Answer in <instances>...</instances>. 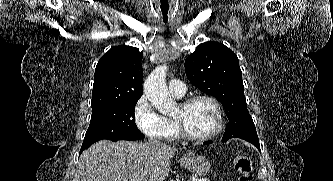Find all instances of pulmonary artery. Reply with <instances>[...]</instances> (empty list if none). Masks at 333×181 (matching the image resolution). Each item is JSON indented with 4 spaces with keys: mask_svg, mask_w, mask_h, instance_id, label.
Returning a JSON list of instances; mask_svg holds the SVG:
<instances>
[{
    "mask_svg": "<svg viewBox=\"0 0 333 181\" xmlns=\"http://www.w3.org/2000/svg\"><path fill=\"white\" fill-rule=\"evenodd\" d=\"M170 93L176 98H182L186 93V85L178 79H173L169 83Z\"/></svg>",
    "mask_w": 333,
    "mask_h": 181,
    "instance_id": "e3ab8cb5",
    "label": "pulmonary artery"
}]
</instances>
